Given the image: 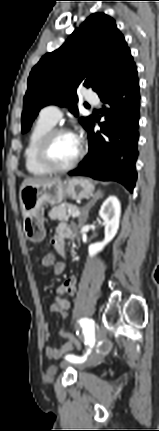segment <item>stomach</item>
<instances>
[{
  "label": "stomach",
  "instance_id": "0dacf381",
  "mask_svg": "<svg viewBox=\"0 0 159 431\" xmlns=\"http://www.w3.org/2000/svg\"><path fill=\"white\" fill-rule=\"evenodd\" d=\"M93 192L94 185L88 179L80 177L57 179L41 185L29 184L20 188L19 199L23 211L25 236L32 242H41L45 238L43 205H57L65 198H87Z\"/></svg>",
  "mask_w": 159,
  "mask_h": 431
}]
</instances>
